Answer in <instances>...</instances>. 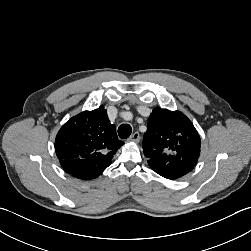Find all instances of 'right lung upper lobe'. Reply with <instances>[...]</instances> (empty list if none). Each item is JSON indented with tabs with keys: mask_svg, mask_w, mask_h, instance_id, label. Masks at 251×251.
Listing matches in <instances>:
<instances>
[{
	"mask_svg": "<svg viewBox=\"0 0 251 251\" xmlns=\"http://www.w3.org/2000/svg\"><path fill=\"white\" fill-rule=\"evenodd\" d=\"M124 143L116 134L103 106L84 111L65 123L56 136V155L63 169L72 176L90 180L111 164Z\"/></svg>",
	"mask_w": 251,
	"mask_h": 251,
	"instance_id": "cb5924a9",
	"label": "right lung upper lobe"
}]
</instances>
